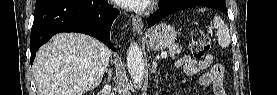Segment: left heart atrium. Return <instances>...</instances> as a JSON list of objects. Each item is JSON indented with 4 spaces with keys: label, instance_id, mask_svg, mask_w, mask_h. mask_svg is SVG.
<instances>
[{
    "label": "left heart atrium",
    "instance_id": "obj_1",
    "mask_svg": "<svg viewBox=\"0 0 277 95\" xmlns=\"http://www.w3.org/2000/svg\"><path fill=\"white\" fill-rule=\"evenodd\" d=\"M151 0H119L118 3L121 7L131 10H141L145 8Z\"/></svg>",
    "mask_w": 277,
    "mask_h": 95
}]
</instances>
